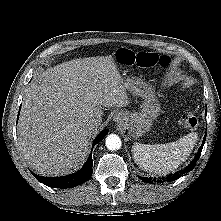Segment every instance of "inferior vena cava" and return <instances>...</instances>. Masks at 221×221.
<instances>
[{"label":"inferior vena cava","instance_id":"obj_1","mask_svg":"<svg viewBox=\"0 0 221 221\" xmlns=\"http://www.w3.org/2000/svg\"><path fill=\"white\" fill-rule=\"evenodd\" d=\"M101 122H102V118L100 116L94 117L89 120L88 128L90 130H95L101 124Z\"/></svg>","mask_w":221,"mask_h":221}]
</instances>
